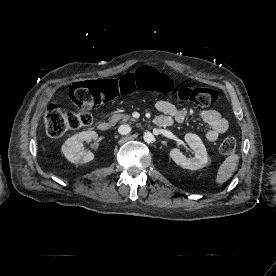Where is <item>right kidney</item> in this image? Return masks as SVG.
I'll list each match as a JSON object with an SVG mask.
<instances>
[{
	"instance_id": "1",
	"label": "right kidney",
	"mask_w": 276,
	"mask_h": 276,
	"mask_svg": "<svg viewBox=\"0 0 276 276\" xmlns=\"http://www.w3.org/2000/svg\"><path fill=\"white\" fill-rule=\"evenodd\" d=\"M97 137V133L92 130L75 134L63 143L61 152L72 163L83 164L90 162L94 159V154L83 150V142L96 140Z\"/></svg>"
}]
</instances>
